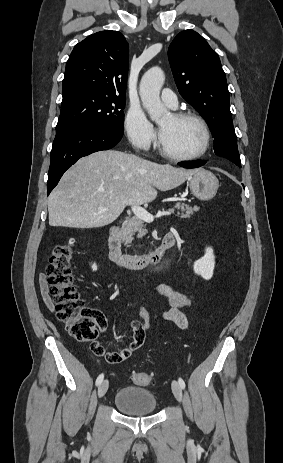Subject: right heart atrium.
Segmentation results:
<instances>
[{
    "label": "right heart atrium",
    "mask_w": 283,
    "mask_h": 463,
    "mask_svg": "<svg viewBox=\"0 0 283 463\" xmlns=\"http://www.w3.org/2000/svg\"><path fill=\"white\" fill-rule=\"evenodd\" d=\"M125 131L130 143L141 150H148L154 141V130L139 107L129 108L125 118Z\"/></svg>",
    "instance_id": "right-heart-atrium-1"
}]
</instances>
